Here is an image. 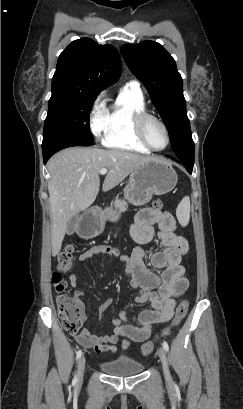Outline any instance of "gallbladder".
<instances>
[{
  "instance_id": "bac80fb5",
  "label": "gallbladder",
  "mask_w": 243,
  "mask_h": 409,
  "mask_svg": "<svg viewBox=\"0 0 243 409\" xmlns=\"http://www.w3.org/2000/svg\"><path fill=\"white\" fill-rule=\"evenodd\" d=\"M78 219H79V216H78V214H77V215L73 216V217L68 221V224H67V227H66V234H67V235H72V234H74V232H75L76 229H77Z\"/></svg>"
}]
</instances>
